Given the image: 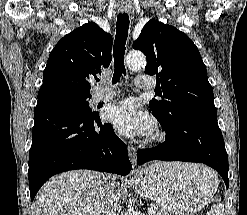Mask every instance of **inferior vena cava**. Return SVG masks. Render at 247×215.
<instances>
[{"label": "inferior vena cava", "mask_w": 247, "mask_h": 215, "mask_svg": "<svg viewBox=\"0 0 247 215\" xmlns=\"http://www.w3.org/2000/svg\"><path fill=\"white\" fill-rule=\"evenodd\" d=\"M120 189L114 184L107 187L104 215H122L121 206L119 205Z\"/></svg>", "instance_id": "602c4592"}]
</instances>
